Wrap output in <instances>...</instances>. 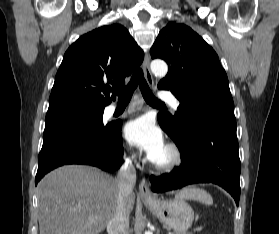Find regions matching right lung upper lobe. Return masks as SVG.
Masks as SVG:
<instances>
[{
  "instance_id": "right-lung-upper-lobe-1",
  "label": "right lung upper lobe",
  "mask_w": 279,
  "mask_h": 234,
  "mask_svg": "<svg viewBox=\"0 0 279 234\" xmlns=\"http://www.w3.org/2000/svg\"><path fill=\"white\" fill-rule=\"evenodd\" d=\"M143 58V51L120 24L82 35L64 54L48 109L67 105L104 108L115 100L110 97V86H123Z\"/></svg>"
}]
</instances>
